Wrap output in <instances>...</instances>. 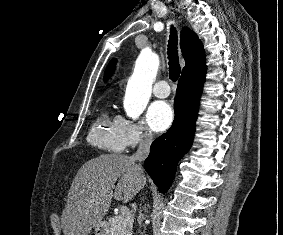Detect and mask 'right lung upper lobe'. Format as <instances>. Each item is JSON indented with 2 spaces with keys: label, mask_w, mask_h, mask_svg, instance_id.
Listing matches in <instances>:
<instances>
[{
  "label": "right lung upper lobe",
  "mask_w": 283,
  "mask_h": 235,
  "mask_svg": "<svg viewBox=\"0 0 283 235\" xmlns=\"http://www.w3.org/2000/svg\"><path fill=\"white\" fill-rule=\"evenodd\" d=\"M180 47L185 59V67L181 78H190L205 73V54L201 41L189 28L181 31ZM115 68V60H112L105 71V79H108Z\"/></svg>",
  "instance_id": "1"
}]
</instances>
